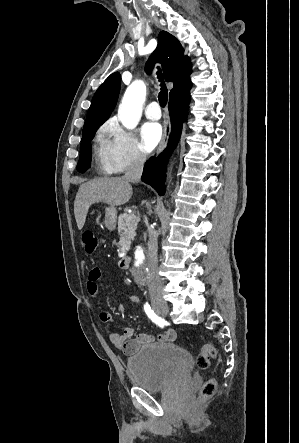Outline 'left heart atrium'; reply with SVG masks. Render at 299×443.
<instances>
[{
	"label": "left heart atrium",
	"instance_id": "39dd6f15",
	"mask_svg": "<svg viewBox=\"0 0 299 443\" xmlns=\"http://www.w3.org/2000/svg\"><path fill=\"white\" fill-rule=\"evenodd\" d=\"M162 138V128L158 123H146L141 130L142 148L146 152L152 151Z\"/></svg>",
	"mask_w": 299,
	"mask_h": 443
}]
</instances>
